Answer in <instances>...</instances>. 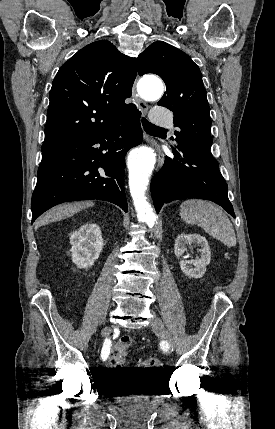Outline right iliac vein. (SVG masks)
Returning <instances> with one entry per match:
<instances>
[{"label": "right iliac vein", "mask_w": 275, "mask_h": 429, "mask_svg": "<svg viewBox=\"0 0 275 429\" xmlns=\"http://www.w3.org/2000/svg\"><path fill=\"white\" fill-rule=\"evenodd\" d=\"M110 333H111L110 327H105L101 332L102 336H104V337H107Z\"/></svg>", "instance_id": "obj_1"}]
</instances>
